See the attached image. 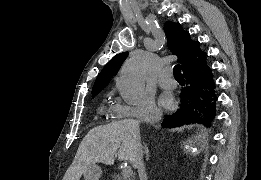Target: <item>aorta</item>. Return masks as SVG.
<instances>
[{"instance_id":"762f6f07","label":"aorta","mask_w":261,"mask_h":180,"mask_svg":"<svg viewBox=\"0 0 261 180\" xmlns=\"http://www.w3.org/2000/svg\"><path fill=\"white\" fill-rule=\"evenodd\" d=\"M146 70V62L137 56L129 58L122 66L117 87L126 103L137 105L141 102L144 94Z\"/></svg>"}]
</instances>
